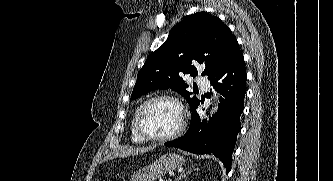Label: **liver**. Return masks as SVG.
I'll return each instance as SVG.
<instances>
[{
    "label": "liver",
    "mask_w": 333,
    "mask_h": 181,
    "mask_svg": "<svg viewBox=\"0 0 333 181\" xmlns=\"http://www.w3.org/2000/svg\"><path fill=\"white\" fill-rule=\"evenodd\" d=\"M155 148V146H150V147H123L120 148L118 150H116L115 152H113L112 154L106 156L103 161L112 159V158H116V157H128V156H135L138 154H142L145 152H149L152 151Z\"/></svg>",
    "instance_id": "6515ba94"
}]
</instances>
